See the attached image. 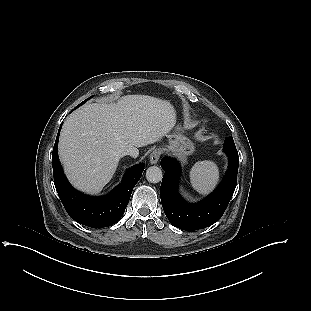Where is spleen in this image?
Here are the masks:
<instances>
[{
  "label": "spleen",
  "instance_id": "obj_1",
  "mask_svg": "<svg viewBox=\"0 0 311 311\" xmlns=\"http://www.w3.org/2000/svg\"><path fill=\"white\" fill-rule=\"evenodd\" d=\"M219 170L213 161H199L190 171L192 187L200 194H208L217 185Z\"/></svg>",
  "mask_w": 311,
  "mask_h": 311
}]
</instances>
